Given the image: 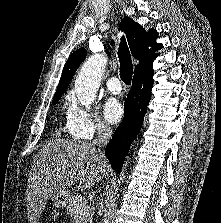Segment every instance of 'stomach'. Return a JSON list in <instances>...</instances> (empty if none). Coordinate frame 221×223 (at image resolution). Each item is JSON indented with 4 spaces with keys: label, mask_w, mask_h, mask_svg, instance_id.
Here are the masks:
<instances>
[{
    "label": "stomach",
    "mask_w": 221,
    "mask_h": 223,
    "mask_svg": "<svg viewBox=\"0 0 221 223\" xmlns=\"http://www.w3.org/2000/svg\"><path fill=\"white\" fill-rule=\"evenodd\" d=\"M72 198H73V195L70 192V190L65 189V190L60 191L57 194H54L51 197V200L53 201V204L56 207L64 208V207L68 206V204L70 203Z\"/></svg>",
    "instance_id": "stomach-1"
}]
</instances>
